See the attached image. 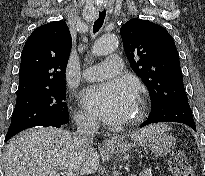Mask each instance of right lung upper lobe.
<instances>
[{
  "mask_svg": "<svg viewBox=\"0 0 205 176\" xmlns=\"http://www.w3.org/2000/svg\"><path fill=\"white\" fill-rule=\"evenodd\" d=\"M71 45V35L63 20L36 28L22 51L17 94L65 84Z\"/></svg>",
  "mask_w": 205,
  "mask_h": 176,
  "instance_id": "cb5924a9",
  "label": "right lung upper lobe"
}]
</instances>
